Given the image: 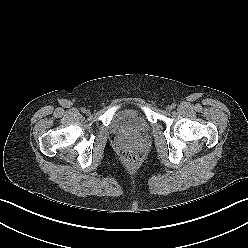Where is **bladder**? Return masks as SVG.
<instances>
[{
  "label": "bladder",
  "mask_w": 248,
  "mask_h": 248,
  "mask_svg": "<svg viewBox=\"0 0 248 248\" xmlns=\"http://www.w3.org/2000/svg\"><path fill=\"white\" fill-rule=\"evenodd\" d=\"M146 119L135 110L119 112L113 119L112 129L116 134L141 135L148 130Z\"/></svg>",
  "instance_id": "31cf9c89"
}]
</instances>
